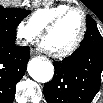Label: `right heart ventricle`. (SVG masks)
<instances>
[{
	"label": "right heart ventricle",
	"mask_w": 103,
	"mask_h": 103,
	"mask_svg": "<svg viewBox=\"0 0 103 103\" xmlns=\"http://www.w3.org/2000/svg\"><path fill=\"white\" fill-rule=\"evenodd\" d=\"M68 8H70V5L68 4H59L38 9L31 14L28 19V24L35 30L37 34H39L55 16Z\"/></svg>",
	"instance_id": "1"
}]
</instances>
